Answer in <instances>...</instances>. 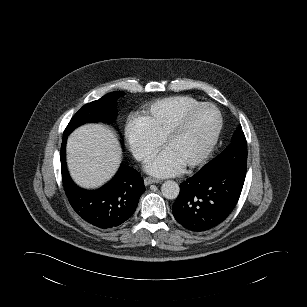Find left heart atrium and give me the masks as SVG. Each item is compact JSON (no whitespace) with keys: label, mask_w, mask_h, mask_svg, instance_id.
I'll list each match as a JSON object with an SVG mask.
<instances>
[{"label":"left heart atrium","mask_w":307,"mask_h":307,"mask_svg":"<svg viewBox=\"0 0 307 307\" xmlns=\"http://www.w3.org/2000/svg\"><path fill=\"white\" fill-rule=\"evenodd\" d=\"M183 167L184 164L169 150L163 149L147 163L146 170L157 177H169L180 173Z\"/></svg>","instance_id":"1"}]
</instances>
